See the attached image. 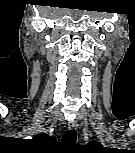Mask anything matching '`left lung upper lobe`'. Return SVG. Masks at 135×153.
<instances>
[{"mask_svg": "<svg viewBox=\"0 0 135 153\" xmlns=\"http://www.w3.org/2000/svg\"><path fill=\"white\" fill-rule=\"evenodd\" d=\"M89 145H92V146H95V147H98V148H101L102 147L101 144H99L96 141L89 142Z\"/></svg>", "mask_w": 135, "mask_h": 153, "instance_id": "obj_1", "label": "left lung upper lobe"}]
</instances>
